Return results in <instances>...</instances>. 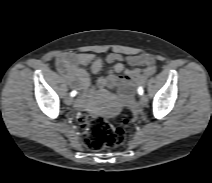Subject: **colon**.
Returning <instances> with one entry per match:
<instances>
[{"mask_svg": "<svg viewBox=\"0 0 212 183\" xmlns=\"http://www.w3.org/2000/svg\"><path fill=\"white\" fill-rule=\"evenodd\" d=\"M78 121L85 127L84 143L90 150L116 148L126 141L127 128L113 126L103 117L79 115ZM123 124L128 125L127 118L123 120Z\"/></svg>", "mask_w": 212, "mask_h": 183, "instance_id": "obj_1", "label": "colon"}]
</instances>
